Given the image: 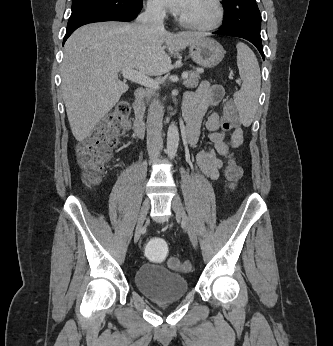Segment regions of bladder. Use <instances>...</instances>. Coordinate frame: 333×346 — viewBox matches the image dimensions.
<instances>
[{
    "instance_id": "1",
    "label": "bladder",
    "mask_w": 333,
    "mask_h": 346,
    "mask_svg": "<svg viewBox=\"0 0 333 346\" xmlns=\"http://www.w3.org/2000/svg\"><path fill=\"white\" fill-rule=\"evenodd\" d=\"M137 289L158 303L174 302L185 296L188 282L183 275L152 263L141 265L135 273Z\"/></svg>"
}]
</instances>
